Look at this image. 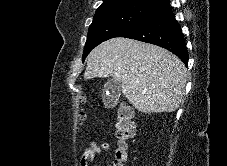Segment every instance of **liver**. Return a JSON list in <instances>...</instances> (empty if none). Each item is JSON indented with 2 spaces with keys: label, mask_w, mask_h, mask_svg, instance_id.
I'll return each instance as SVG.
<instances>
[{
  "label": "liver",
  "mask_w": 227,
  "mask_h": 166,
  "mask_svg": "<svg viewBox=\"0 0 227 166\" xmlns=\"http://www.w3.org/2000/svg\"><path fill=\"white\" fill-rule=\"evenodd\" d=\"M113 77L128 101L143 113L173 112L185 93L187 69L166 49L127 38H113L87 57L86 80Z\"/></svg>",
  "instance_id": "6515ba94"
}]
</instances>
